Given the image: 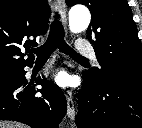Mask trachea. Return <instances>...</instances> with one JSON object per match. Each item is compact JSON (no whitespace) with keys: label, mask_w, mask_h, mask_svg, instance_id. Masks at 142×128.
<instances>
[{"label":"trachea","mask_w":142,"mask_h":128,"mask_svg":"<svg viewBox=\"0 0 142 128\" xmlns=\"http://www.w3.org/2000/svg\"><path fill=\"white\" fill-rule=\"evenodd\" d=\"M55 20L51 24L49 37L46 42L38 48L31 49L30 51L37 55V58L44 59L48 58L58 47V49L66 54L71 55L74 58L84 59L85 57L78 54L73 50L64 40V28L59 20V14L56 13L54 16Z\"/></svg>","instance_id":"obj_1"}]
</instances>
